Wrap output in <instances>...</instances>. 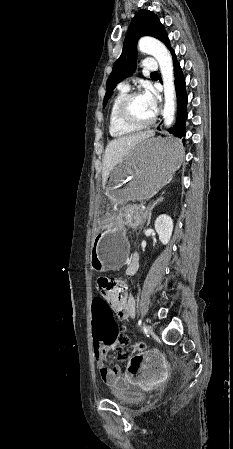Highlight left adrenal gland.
Listing matches in <instances>:
<instances>
[{
  "label": "left adrenal gland",
  "instance_id": "1",
  "mask_svg": "<svg viewBox=\"0 0 233 449\" xmlns=\"http://www.w3.org/2000/svg\"><path fill=\"white\" fill-rule=\"evenodd\" d=\"M162 201H163V197L159 198V199L156 200L151 206H148V207H147V210H146V213H147V216H148V222H147V225L150 224V220H151L153 208H154L159 202H162Z\"/></svg>",
  "mask_w": 233,
  "mask_h": 449
}]
</instances>
